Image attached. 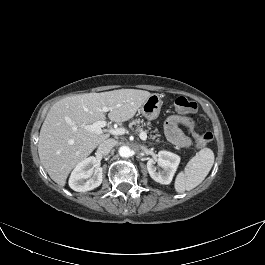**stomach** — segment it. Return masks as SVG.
I'll return each mask as SVG.
<instances>
[{
  "label": "stomach",
  "instance_id": "1",
  "mask_svg": "<svg viewBox=\"0 0 265 265\" xmlns=\"http://www.w3.org/2000/svg\"><path fill=\"white\" fill-rule=\"evenodd\" d=\"M162 100L159 94H152L140 107L139 112L147 119H156L162 107Z\"/></svg>",
  "mask_w": 265,
  "mask_h": 265
}]
</instances>
